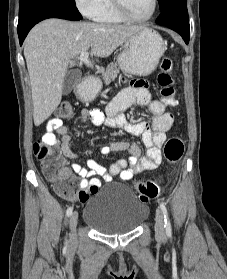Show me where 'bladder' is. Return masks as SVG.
<instances>
[{
    "label": "bladder",
    "mask_w": 227,
    "mask_h": 279,
    "mask_svg": "<svg viewBox=\"0 0 227 279\" xmlns=\"http://www.w3.org/2000/svg\"><path fill=\"white\" fill-rule=\"evenodd\" d=\"M148 213V207L130 188L118 185L107 192L99 190L86 201L83 221L100 233L112 235L137 229Z\"/></svg>",
    "instance_id": "obj_1"
}]
</instances>
